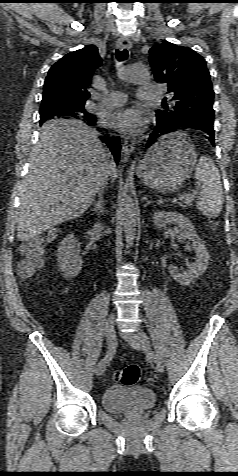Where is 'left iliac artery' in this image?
<instances>
[{"instance_id":"1","label":"left iliac artery","mask_w":238,"mask_h":476,"mask_svg":"<svg viewBox=\"0 0 238 476\" xmlns=\"http://www.w3.org/2000/svg\"><path fill=\"white\" fill-rule=\"evenodd\" d=\"M139 335H140V337H141V339L143 340L144 343H149V338H148V336L146 335L145 332L140 331Z\"/></svg>"}]
</instances>
